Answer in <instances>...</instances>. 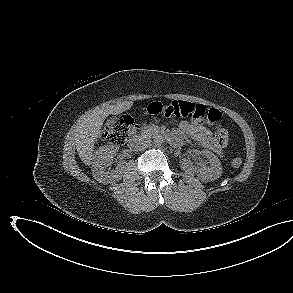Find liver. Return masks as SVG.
Segmentation results:
<instances>
[{"instance_id":"6515ba94","label":"liver","mask_w":293,"mask_h":293,"mask_svg":"<svg viewBox=\"0 0 293 293\" xmlns=\"http://www.w3.org/2000/svg\"><path fill=\"white\" fill-rule=\"evenodd\" d=\"M133 105L132 101H124L116 105L97 108L80 118L75 127V143L79 157L85 165L93 159L94 145L101 135V127L109 115H118Z\"/></svg>"}]
</instances>
